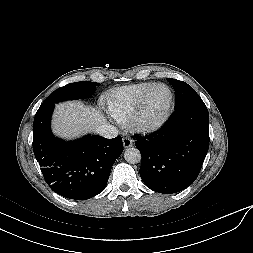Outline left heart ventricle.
I'll list each match as a JSON object with an SVG mask.
<instances>
[{
  "label": "left heart ventricle",
  "mask_w": 253,
  "mask_h": 253,
  "mask_svg": "<svg viewBox=\"0 0 253 253\" xmlns=\"http://www.w3.org/2000/svg\"><path fill=\"white\" fill-rule=\"evenodd\" d=\"M170 102L169 90L165 87H158L155 89L148 99L145 108V118L148 120H155L160 118Z\"/></svg>",
  "instance_id": "1"
}]
</instances>
